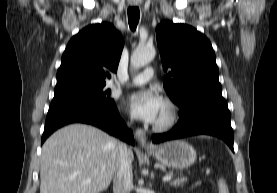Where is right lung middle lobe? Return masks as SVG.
<instances>
[{"label": "right lung middle lobe", "instance_id": "1", "mask_svg": "<svg viewBox=\"0 0 277 193\" xmlns=\"http://www.w3.org/2000/svg\"><path fill=\"white\" fill-rule=\"evenodd\" d=\"M105 85L86 87L55 93L54 97H71L92 101L104 106L113 105L114 100L110 98V91H104Z\"/></svg>", "mask_w": 277, "mask_h": 193}]
</instances>
